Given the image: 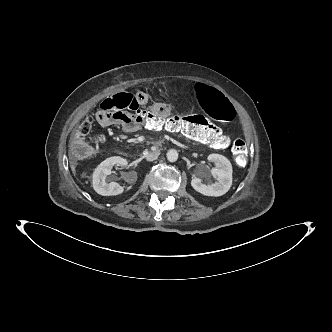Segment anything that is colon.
Here are the masks:
<instances>
[{
    "mask_svg": "<svg viewBox=\"0 0 332 332\" xmlns=\"http://www.w3.org/2000/svg\"><path fill=\"white\" fill-rule=\"evenodd\" d=\"M191 97L199 112L211 119L198 115H169L166 118L155 116L151 110L138 106L136 95L121 92L106 98L101 103L100 109H110L113 113L117 110H129L141 116V124L150 133L160 130L179 132L192 140L210 144L217 149H224L229 145L228 136L220 132L217 126L227 127L232 125L238 116V109L231 98L218 87L208 85L206 82H195L190 89ZM93 119L87 117L78 126L72 140V151L76 157L84 158L89 155V146L103 143V135H92ZM217 125V126H216ZM232 152L238 165L243 166L247 161V145L241 138L232 144Z\"/></svg>",
    "mask_w": 332,
    "mask_h": 332,
    "instance_id": "5ec220e1",
    "label": "colon"
}]
</instances>
